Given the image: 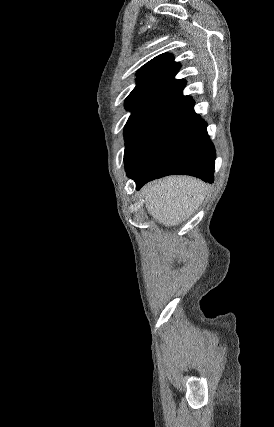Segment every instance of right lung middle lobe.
Instances as JSON below:
<instances>
[{"mask_svg":"<svg viewBox=\"0 0 274 427\" xmlns=\"http://www.w3.org/2000/svg\"><path fill=\"white\" fill-rule=\"evenodd\" d=\"M173 108L159 101L127 106L132 114L124 128L125 168H132L139 162Z\"/></svg>","mask_w":274,"mask_h":427,"instance_id":"right-lung-middle-lobe-1","label":"right lung middle lobe"}]
</instances>
